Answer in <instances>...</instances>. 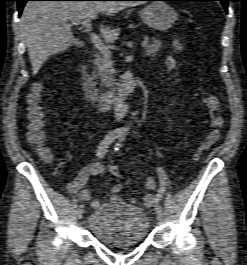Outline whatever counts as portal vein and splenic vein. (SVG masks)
<instances>
[{
  "mask_svg": "<svg viewBox=\"0 0 247 265\" xmlns=\"http://www.w3.org/2000/svg\"><path fill=\"white\" fill-rule=\"evenodd\" d=\"M72 24L73 25L82 24V26L89 33L90 39H91L92 43L96 46V48L102 54H105L107 56H110V51H109L108 47L102 42V40L97 35H95L94 33L91 32V20L90 19H86V20H83V21L75 20V21H72ZM147 45H148L147 42H143L141 44L142 48H146Z\"/></svg>",
  "mask_w": 247,
  "mask_h": 265,
  "instance_id": "1",
  "label": "portal vein and splenic vein"
}]
</instances>
